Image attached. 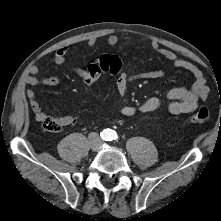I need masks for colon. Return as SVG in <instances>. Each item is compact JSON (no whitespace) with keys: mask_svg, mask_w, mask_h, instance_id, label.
<instances>
[{"mask_svg":"<svg viewBox=\"0 0 221 221\" xmlns=\"http://www.w3.org/2000/svg\"><path fill=\"white\" fill-rule=\"evenodd\" d=\"M121 68V61L117 56L103 55L98 61L92 63L88 67V77L85 80L86 84H92L104 72L117 73ZM210 113L206 107L200 108L197 112L187 118L190 124H204L209 120ZM42 126L46 131L59 132L63 125L57 117L45 115L42 118Z\"/></svg>","mask_w":221,"mask_h":221,"instance_id":"1","label":"colon"}]
</instances>
